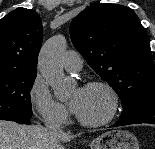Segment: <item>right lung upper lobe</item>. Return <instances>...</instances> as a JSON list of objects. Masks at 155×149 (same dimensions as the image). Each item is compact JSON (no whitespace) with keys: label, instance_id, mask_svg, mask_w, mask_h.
<instances>
[{"label":"right lung upper lobe","instance_id":"obj_1","mask_svg":"<svg viewBox=\"0 0 155 149\" xmlns=\"http://www.w3.org/2000/svg\"><path fill=\"white\" fill-rule=\"evenodd\" d=\"M43 40L41 18L19 7L0 20V73L34 72Z\"/></svg>","mask_w":155,"mask_h":149}]
</instances>
